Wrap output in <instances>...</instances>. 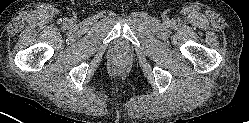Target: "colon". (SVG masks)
<instances>
[{
    "mask_svg": "<svg viewBox=\"0 0 249 123\" xmlns=\"http://www.w3.org/2000/svg\"><path fill=\"white\" fill-rule=\"evenodd\" d=\"M125 60V55L123 53H118L114 57V62L116 64L122 63Z\"/></svg>",
    "mask_w": 249,
    "mask_h": 123,
    "instance_id": "colon-1",
    "label": "colon"
}]
</instances>
